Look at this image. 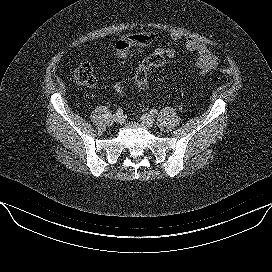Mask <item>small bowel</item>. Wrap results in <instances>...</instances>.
<instances>
[{
    "instance_id": "obj_1",
    "label": "small bowel",
    "mask_w": 272,
    "mask_h": 272,
    "mask_svg": "<svg viewBox=\"0 0 272 272\" xmlns=\"http://www.w3.org/2000/svg\"><path fill=\"white\" fill-rule=\"evenodd\" d=\"M134 35H125L114 44L115 53H120L122 56L128 53L132 48L136 47V43L133 40ZM170 40L177 42L181 39L180 34L173 33L170 35ZM184 47L189 51H194L197 54L195 66L198 69L199 75L204 76L210 71L215 70L218 67L219 59L214 52L203 42H200L191 37H187L184 40ZM154 53L161 54L165 58L171 59L175 56L176 50L172 47H156Z\"/></svg>"
}]
</instances>
